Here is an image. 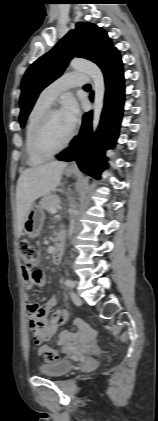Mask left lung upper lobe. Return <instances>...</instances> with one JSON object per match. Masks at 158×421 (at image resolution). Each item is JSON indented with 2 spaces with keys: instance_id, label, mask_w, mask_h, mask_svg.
Returning <instances> with one entry per match:
<instances>
[{
  "instance_id": "1",
  "label": "left lung upper lobe",
  "mask_w": 158,
  "mask_h": 421,
  "mask_svg": "<svg viewBox=\"0 0 158 421\" xmlns=\"http://www.w3.org/2000/svg\"><path fill=\"white\" fill-rule=\"evenodd\" d=\"M115 50L102 28L92 23H77L75 30H71L26 71L21 84V127L24 126L39 93L63 73L69 60L82 57L100 66Z\"/></svg>"
}]
</instances>
